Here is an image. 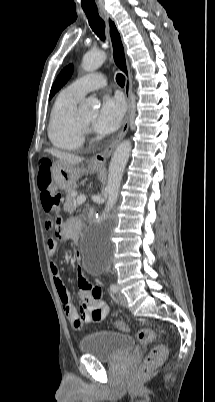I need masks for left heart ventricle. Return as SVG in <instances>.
Instances as JSON below:
<instances>
[{
	"instance_id": "1",
	"label": "left heart ventricle",
	"mask_w": 215,
	"mask_h": 402,
	"mask_svg": "<svg viewBox=\"0 0 215 402\" xmlns=\"http://www.w3.org/2000/svg\"><path fill=\"white\" fill-rule=\"evenodd\" d=\"M81 120L87 124L90 125L93 123L94 119H95V113L94 112H88V113H84L81 116Z\"/></svg>"
}]
</instances>
